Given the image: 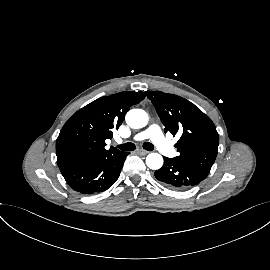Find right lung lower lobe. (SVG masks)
Returning <instances> with one entry per match:
<instances>
[{
  "label": "right lung lower lobe",
  "instance_id": "obj_1",
  "mask_svg": "<svg viewBox=\"0 0 270 270\" xmlns=\"http://www.w3.org/2000/svg\"><path fill=\"white\" fill-rule=\"evenodd\" d=\"M128 154L118 151L65 166L60 171L75 191L83 194L98 193L116 182Z\"/></svg>",
  "mask_w": 270,
  "mask_h": 270
}]
</instances>
